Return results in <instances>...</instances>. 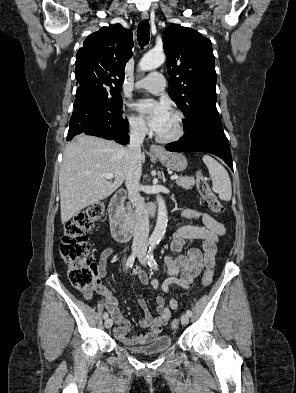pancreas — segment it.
<instances>
[{"mask_svg": "<svg viewBox=\"0 0 296 393\" xmlns=\"http://www.w3.org/2000/svg\"><path fill=\"white\" fill-rule=\"evenodd\" d=\"M176 184L178 186H181L184 189L189 190V189H192V187L194 186L195 180H194L193 177H182V176H180L176 180ZM125 215L128 218H130V219L132 218V210H131L130 206L127 207V211H126Z\"/></svg>", "mask_w": 296, "mask_h": 393, "instance_id": "1", "label": "pancreas"}]
</instances>
